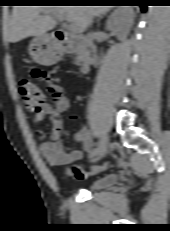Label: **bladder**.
Masks as SVG:
<instances>
[{
  "label": "bladder",
  "instance_id": "obj_1",
  "mask_svg": "<svg viewBox=\"0 0 170 231\" xmlns=\"http://www.w3.org/2000/svg\"><path fill=\"white\" fill-rule=\"evenodd\" d=\"M122 179L118 173L108 174L90 183L89 189L92 191H98L108 189L116 185Z\"/></svg>",
  "mask_w": 170,
  "mask_h": 231
}]
</instances>
